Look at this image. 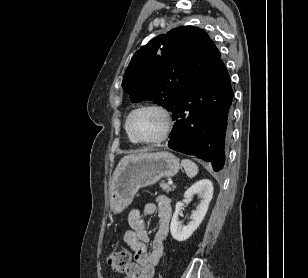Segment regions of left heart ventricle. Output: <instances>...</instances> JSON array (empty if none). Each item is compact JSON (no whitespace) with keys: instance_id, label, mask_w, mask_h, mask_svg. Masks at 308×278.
Listing matches in <instances>:
<instances>
[{"instance_id":"1","label":"left heart ventricle","mask_w":308,"mask_h":278,"mask_svg":"<svg viewBox=\"0 0 308 278\" xmlns=\"http://www.w3.org/2000/svg\"><path fill=\"white\" fill-rule=\"evenodd\" d=\"M131 128L136 136L142 139H154L164 129V118L156 110L138 111L132 118Z\"/></svg>"}]
</instances>
